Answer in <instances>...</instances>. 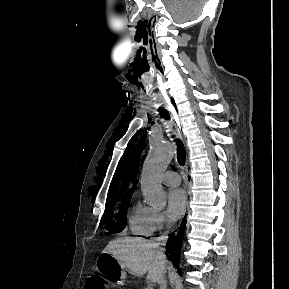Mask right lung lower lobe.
I'll list each match as a JSON object with an SVG mask.
<instances>
[{
	"mask_svg": "<svg viewBox=\"0 0 289 289\" xmlns=\"http://www.w3.org/2000/svg\"><path fill=\"white\" fill-rule=\"evenodd\" d=\"M186 224L180 227L179 231L170 234L168 243L166 244L168 259L176 266L179 265L181 245Z\"/></svg>",
	"mask_w": 289,
	"mask_h": 289,
	"instance_id": "obj_1",
	"label": "right lung lower lobe"
}]
</instances>
